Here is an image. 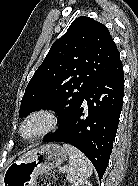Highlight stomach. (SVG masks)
Returning <instances> with one entry per match:
<instances>
[{
    "label": "stomach",
    "mask_w": 138,
    "mask_h": 186,
    "mask_svg": "<svg viewBox=\"0 0 138 186\" xmlns=\"http://www.w3.org/2000/svg\"><path fill=\"white\" fill-rule=\"evenodd\" d=\"M66 159L67 152L60 145H43L12 162L5 169L0 186H35L39 174L59 167Z\"/></svg>",
    "instance_id": "0dacf381"
}]
</instances>
